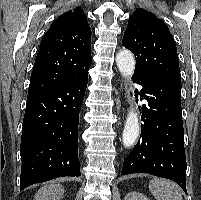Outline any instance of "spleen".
Segmentation results:
<instances>
[{"instance_id":"3e777b00","label":"spleen","mask_w":201,"mask_h":200,"mask_svg":"<svg viewBox=\"0 0 201 200\" xmlns=\"http://www.w3.org/2000/svg\"><path fill=\"white\" fill-rule=\"evenodd\" d=\"M149 189L156 200H183L180 188L171 181L155 178L150 181Z\"/></svg>"}]
</instances>
